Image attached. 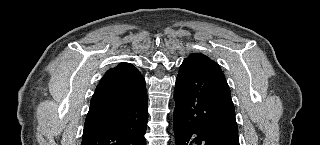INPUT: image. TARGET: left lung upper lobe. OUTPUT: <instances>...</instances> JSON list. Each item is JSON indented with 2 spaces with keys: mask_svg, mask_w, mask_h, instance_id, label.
<instances>
[{
  "mask_svg": "<svg viewBox=\"0 0 320 145\" xmlns=\"http://www.w3.org/2000/svg\"><path fill=\"white\" fill-rule=\"evenodd\" d=\"M186 59L194 61L195 63H198V64H204V65L209 66L211 68L221 70L219 65L216 62H214L209 57H207L206 55L201 54V53H193ZM230 103L234 107L231 98H230Z\"/></svg>",
  "mask_w": 320,
  "mask_h": 145,
  "instance_id": "obj_1",
  "label": "left lung upper lobe"
}]
</instances>
